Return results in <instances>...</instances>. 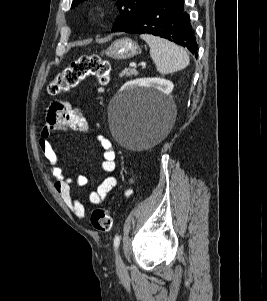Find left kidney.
<instances>
[{
  "mask_svg": "<svg viewBox=\"0 0 267 301\" xmlns=\"http://www.w3.org/2000/svg\"><path fill=\"white\" fill-rule=\"evenodd\" d=\"M134 86H138V87H153L154 89H156L157 91L169 95L173 88L174 85L171 81L166 80V79H161V78H144V79H137L135 81H131L126 83L122 88L121 91H124L130 87H134Z\"/></svg>",
  "mask_w": 267,
  "mask_h": 301,
  "instance_id": "obj_1",
  "label": "left kidney"
}]
</instances>
